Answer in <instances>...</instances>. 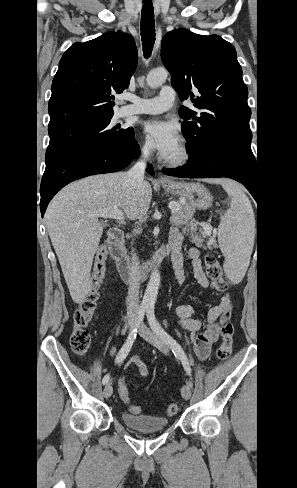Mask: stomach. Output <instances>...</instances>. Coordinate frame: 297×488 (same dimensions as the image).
I'll use <instances>...</instances> for the list:
<instances>
[{
    "label": "stomach",
    "mask_w": 297,
    "mask_h": 488,
    "mask_svg": "<svg viewBox=\"0 0 297 488\" xmlns=\"http://www.w3.org/2000/svg\"><path fill=\"white\" fill-rule=\"evenodd\" d=\"M166 192L171 193L199 210H206L212 205L213 197L208 189L198 182H170L163 184Z\"/></svg>",
    "instance_id": "1"
}]
</instances>
